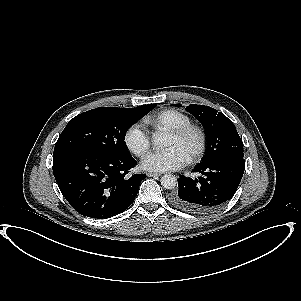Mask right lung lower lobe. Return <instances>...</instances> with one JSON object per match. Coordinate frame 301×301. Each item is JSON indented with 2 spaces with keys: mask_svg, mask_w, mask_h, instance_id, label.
<instances>
[{
  "mask_svg": "<svg viewBox=\"0 0 301 301\" xmlns=\"http://www.w3.org/2000/svg\"><path fill=\"white\" fill-rule=\"evenodd\" d=\"M137 164L130 155L74 151L54 157L53 173L61 193L80 214L98 219L124 212L135 200L145 174L129 170Z\"/></svg>",
  "mask_w": 301,
  "mask_h": 301,
  "instance_id": "obj_1",
  "label": "right lung lower lobe"
}]
</instances>
